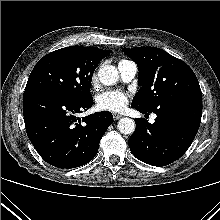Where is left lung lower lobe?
Listing matches in <instances>:
<instances>
[{
	"instance_id": "left-lung-lower-lobe-1",
	"label": "left lung lower lobe",
	"mask_w": 220,
	"mask_h": 220,
	"mask_svg": "<svg viewBox=\"0 0 220 220\" xmlns=\"http://www.w3.org/2000/svg\"><path fill=\"white\" fill-rule=\"evenodd\" d=\"M134 108L143 114L151 113ZM152 112L157 115L153 124L135 119L136 130L129 139V148L139 160L165 166L179 159L194 140L201 122L202 95L178 97Z\"/></svg>"
}]
</instances>
